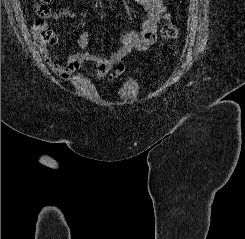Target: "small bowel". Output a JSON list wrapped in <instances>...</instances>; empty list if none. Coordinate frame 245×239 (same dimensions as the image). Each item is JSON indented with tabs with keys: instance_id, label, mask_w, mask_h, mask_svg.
I'll return each mask as SVG.
<instances>
[{
	"instance_id": "1",
	"label": "small bowel",
	"mask_w": 245,
	"mask_h": 239,
	"mask_svg": "<svg viewBox=\"0 0 245 239\" xmlns=\"http://www.w3.org/2000/svg\"><path fill=\"white\" fill-rule=\"evenodd\" d=\"M80 1V0H77ZM144 9L146 17L142 22L141 30L129 31L119 40L118 48L108 56L103 57L88 51L90 45V33L83 32L78 45L83 51L73 53L66 57L64 63H60L55 55L44 52V59L49 68L61 79L68 81L82 67L89 64L94 68L93 75L99 79H107L110 82L117 80L124 72L122 60L132 51H147L156 42L157 29L165 11L162 0H136ZM76 16L74 10L69 8L56 10L53 19H73Z\"/></svg>"
}]
</instances>
